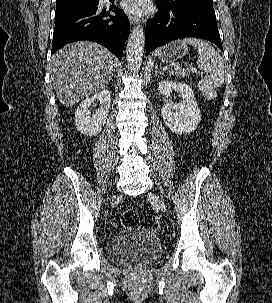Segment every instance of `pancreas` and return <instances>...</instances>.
Here are the masks:
<instances>
[{"mask_svg": "<svg viewBox=\"0 0 272 303\" xmlns=\"http://www.w3.org/2000/svg\"><path fill=\"white\" fill-rule=\"evenodd\" d=\"M171 74H175L177 76H181V77H187L188 73H186L185 71L181 70V69H172L171 70Z\"/></svg>", "mask_w": 272, "mask_h": 303, "instance_id": "cf45deb5", "label": "pancreas"}]
</instances>
